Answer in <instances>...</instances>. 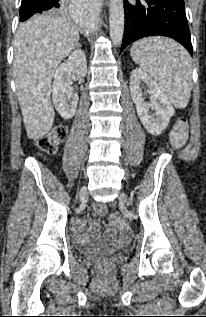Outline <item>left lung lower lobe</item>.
I'll use <instances>...</instances> for the list:
<instances>
[{
	"label": "left lung lower lobe",
	"mask_w": 206,
	"mask_h": 317,
	"mask_svg": "<svg viewBox=\"0 0 206 317\" xmlns=\"http://www.w3.org/2000/svg\"><path fill=\"white\" fill-rule=\"evenodd\" d=\"M136 1L125 0V32L120 52L140 38L162 35L175 39L193 55L183 0Z\"/></svg>",
	"instance_id": "1"
}]
</instances>
